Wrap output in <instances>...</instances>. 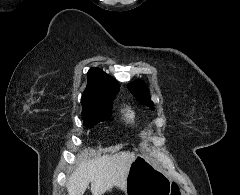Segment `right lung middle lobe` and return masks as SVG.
I'll list each match as a JSON object with an SVG mask.
<instances>
[{"instance_id":"right-lung-middle-lobe-1","label":"right lung middle lobe","mask_w":240,"mask_h":195,"mask_svg":"<svg viewBox=\"0 0 240 195\" xmlns=\"http://www.w3.org/2000/svg\"><path fill=\"white\" fill-rule=\"evenodd\" d=\"M83 122L87 128L93 127L99 122L110 119L112 115V102H81Z\"/></svg>"}]
</instances>
